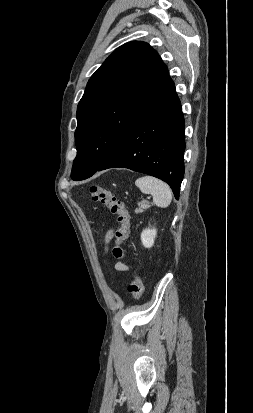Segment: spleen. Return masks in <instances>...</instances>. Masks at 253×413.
Instances as JSON below:
<instances>
[{
    "mask_svg": "<svg viewBox=\"0 0 253 413\" xmlns=\"http://www.w3.org/2000/svg\"><path fill=\"white\" fill-rule=\"evenodd\" d=\"M136 186L144 194H152L153 202L160 208H166L172 200V191L170 187L157 178L144 176L135 181Z\"/></svg>",
    "mask_w": 253,
    "mask_h": 413,
    "instance_id": "spleen-1",
    "label": "spleen"
}]
</instances>
